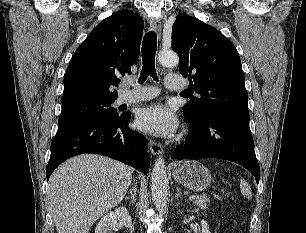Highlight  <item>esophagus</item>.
Segmentation results:
<instances>
[{
	"label": "esophagus",
	"instance_id": "esophagus-1",
	"mask_svg": "<svg viewBox=\"0 0 306 233\" xmlns=\"http://www.w3.org/2000/svg\"><path fill=\"white\" fill-rule=\"evenodd\" d=\"M150 27L153 31L156 32L157 37L160 40L161 39V29H162L160 19L155 18V17L151 18L150 19ZM149 148H150V151L153 155H160L163 151L161 144L154 141V140L149 141Z\"/></svg>",
	"mask_w": 306,
	"mask_h": 233
}]
</instances>
